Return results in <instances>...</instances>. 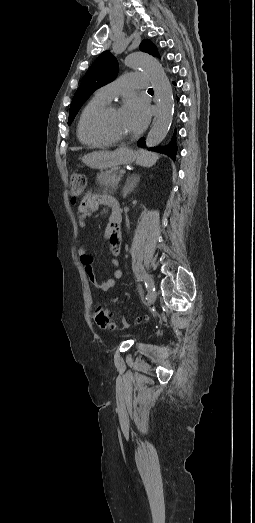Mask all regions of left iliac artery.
<instances>
[{
    "label": "left iliac artery",
    "mask_w": 255,
    "mask_h": 523,
    "mask_svg": "<svg viewBox=\"0 0 255 523\" xmlns=\"http://www.w3.org/2000/svg\"><path fill=\"white\" fill-rule=\"evenodd\" d=\"M144 282H145V285H146V288L148 290V292H152V291H155V287H152L150 285H148L146 279H145V276H144Z\"/></svg>",
    "instance_id": "left-iliac-artery-1"
}]
</instances>
